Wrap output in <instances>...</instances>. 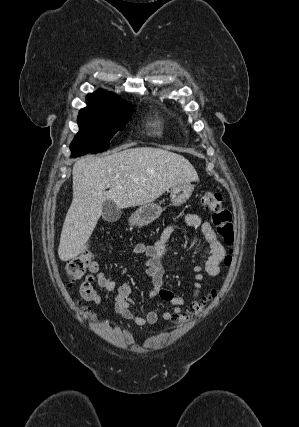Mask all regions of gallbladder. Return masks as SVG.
<instances>
[{
	"instance_id": "gallbladder-1",
	"label": "gallbladder",
	"mask_w": 299,
	"mask_h": 427,
	"mask_svg": "<svg viewBox=\"0 0 299 427\" xmlns=\"http://www.w3.org/2000/svg\"><path fill=\"white\" fill-rule=\"evenodd\" d=\"M122 211L115 204L108 200L104 202L102 208V218L107 222H115L121 217Z\"/></svg>"
}]
</instances>
